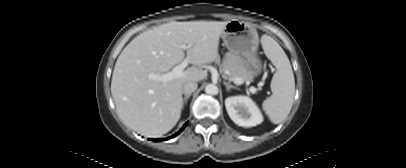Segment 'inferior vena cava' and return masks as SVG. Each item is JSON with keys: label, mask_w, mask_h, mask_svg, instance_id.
I'll return each mask as SVG.
<instances>
[{"label": "inferior vena cava", "mask_w": 406, "mask_h": 168, "mask_svg": "<svg viewBox=\"0 0 406 168\" xmlns=\"http://www.w3.org/2000/svg\"><path fill=\"white\" fill-rule=\"evenodd\" d=\"M198 85L196 81H188L183 84L182 86V92L183 94L186 95H191L192 92H194L197 89Z\"/></svg>", "instance_id": "602c4592"}]
</instances>
